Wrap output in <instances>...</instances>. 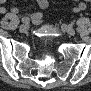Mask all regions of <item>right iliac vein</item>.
Instances as JSON below:
<instances>
[{
  "mask_svg": "<svg viewBox=\"0 0 91 91\" xmlns=\"http://www.w3.org/2000/svg\"><path fill=\"white\" fill-rule=\"evenodd\" d=\"M28 30V25L27 24H22L20 27H19V31L24 33V32H27Z\"/></svg>",
  "mask_w": 91,
  "mask_h": 91,
  "instance_id": "obj_1",
  "label": "right iliac vein"
}]
</instances>
